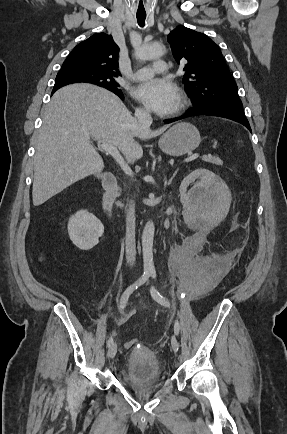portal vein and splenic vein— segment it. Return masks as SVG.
<instances>
[{"mask_svg":"<svg viewBox=\"0 0 287 434\" xmlns=\"http://www.w3.org/2000/svg\"><path fill=\"white\" fill-rule=\"evenodd\" d=\"M98 147L102 151L110 154L115 159V161L120 165V167L122 168V170L124 171L125 174H127L129 176L133 175L131 168L128 166V164H126L123 157L119 153L117 147H115L114 145L109 144V143H102L100 141H98ZM198 157H199L198 153L192 154L185 159V162H190L192 160L197 159Z\"/></svg>","mask_w":287,"mask_h":434,"instance_id":"obj_1","label":"portal vein and splenic vein"}]
</instances>
